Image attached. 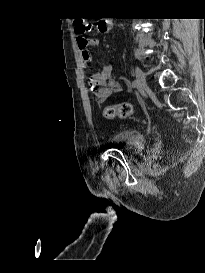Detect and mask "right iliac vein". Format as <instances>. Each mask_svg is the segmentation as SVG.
Segmentation results:
<instances>
[{
    "mask_svg": "<svg viewBox=\"0 0 205 273\" xmlns=\"http://www.w3.org/2000/svg\"><path fill=\"white\" fill-rule=\"evenodd\" d=\"M135 73H136V85L139 89H146L147 87V82H146V78L145 75L143 73V71L139 68L136 67L135 68Z\"/></svg>",
    "mask_w": 205,
    "mask_h": 273,
    "instance_id": "right-iliac-vein-1",
    "label": "right iliac vein"
}]
</instances>
